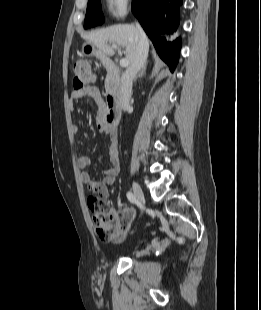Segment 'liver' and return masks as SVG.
Listing matches in <instances>:
<instances>
[{"instance_id": "liver-1", "label": "liver", "mask_w": 261, "mask_h": 310, "mask_svg": "<svg viewBox=\"0 0 261 310\" xmlns=\"http://www.w3.org/2000/svg\"><path fill=\"white\" fill-rule=\"evenodd\" d=\"M83 38L92 42L98 50L100 56H112L115 51L109 44H116L125 48V59L129 64L133 60L136 45L139 40V31L133 25H114L105 29L91 32L84 35ZM148 47L149 41L147 39Z\"/></svg>"}]
</instances>
